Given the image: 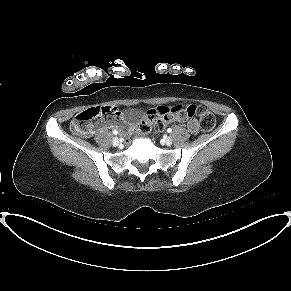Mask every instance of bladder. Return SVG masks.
<instances>
[{
  "label": "bladder",
  "instance_id": "1",
  "mask_svg": "<svg viewBox=\"0 0 291 291\" xmlns=\"http://www.w3.org/2000/svg\"><path fill=\"white\" fill-rule=\"evenodd\" d=\"M140 117V112L135 109H130L124 114V120L128 123L136 122Z\"/></svg>",
  "mask_w": 291,
  "mask_h": 291
}]
</instances>
